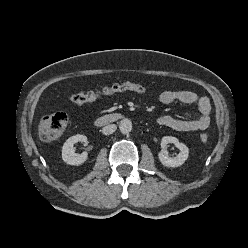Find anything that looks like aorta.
<instances>
[{
    "instance_id": "obj_1",
    "label": "aorta",
    "mask_w": 248,
    "mask_h": 248,
    "mask_svg": "<svg viewBox=\"0 0 248 248\" xmlns=\"http://www.w3.org/2000/svg\"><path fill=\"white\" fill-rule=\"evenodd\" d=\"M119 130L123 134H127L132 130V122L128 118H124L119 123Z\"/></svg>"
}]
</instances>
